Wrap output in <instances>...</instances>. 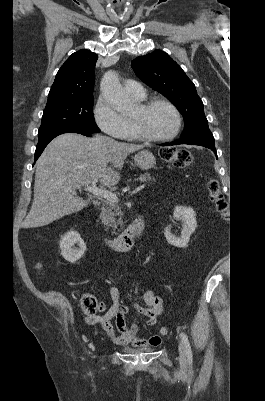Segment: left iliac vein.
<instances>
[{"label":"left iliac vein","mask_w":265,"mask_h":401,"mask_svg":"<svg viewBox=\"0 0 265 401\" xmlns=\"http://www.w3.org/2000/svg\"><path fill=\"white\" fill-rule=\"evenodd\" d=\"M178 349H179L180 362L185 365V363H186V351H185V348H184L182 342H179Z\"/></svg>","instance_id":"4c4485c4"}]
</instances>
